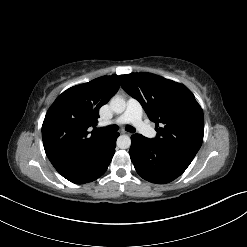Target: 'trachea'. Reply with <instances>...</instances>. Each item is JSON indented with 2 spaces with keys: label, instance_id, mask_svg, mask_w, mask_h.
<instances>
[{
  "label": "trachea",
  "instance_id": "obj_1",
  "mask_svg": "<svg viewBox=\"0 0 247 247\" xmlns=\"http://www.w3.org/2000/svg\"><path fill=\"white\" fill-rule=\"evenodd\" d=\"M119 129V127L117 125H111V126H107V127H104V128H100L101 131L103 132H115ZM125 130L128 131V132H135V128L130 126V125H127L125 127Z\"/></svg>",
  "mask_w": 247,
  "mask_h": 247
}]
</instances>
